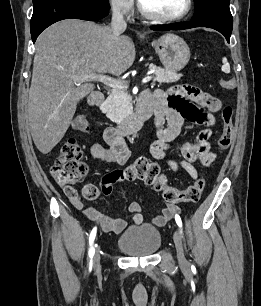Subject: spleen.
<instances>
[{
	"label": "spleen",
	"instance_id": "3e777b00",
	"mask_svg": "<svg viewBox=\"0 0 261 306\" xmlns=\"http://www.w3.org/2000/svg\"><path fill=\"white\" fill-rule=\"evenodd\" d=\"M222 62H223V66H222V70L226 73H229L230 72V65L229 63L227 62V59L226 58H223L222 59Z\"/></svg>",
	"mask_w": 261,
	"mask_h": 306
}]
</instances>
